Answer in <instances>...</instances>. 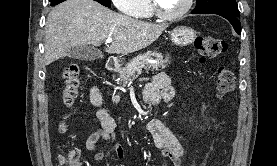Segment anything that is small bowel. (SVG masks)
I'll list each match as a JSON object with an SVG mask.
<instances>
[{
    "mask_svg": "<svg viewBox=\"0 0 277 166\" xmlns=\"http://www.w3.org/2000/svg\"><path fill=\"white\" fill-rule=\"evenodd\" d=\"M157 94L158 100L163 98L166 101L172 99L174 90L170 85L169 78L160 73L153 79V83L144 89V99L150 101L153 94ZM90 101L98 108L97 116L100 121V128L93 131L87 138L85 146L90 151L97 150L102 144L114 140L116 123L103 105L102 94L97 87L90 90ZM148 129L153 137L155 145L161 150L162 155L167 158L173 166H182L184 149L177 136L167 128L161 121L153 120L149 123ZM108 155L123 158L124 152L120 145L112 146L108 151H98L94 155L96 161L105 159Z\"/></svg>",
    "mask_w": 277,
    "mask_h": 166,
    "instance_id": "1",
    "label": "small bowel"
}]
</instances>
